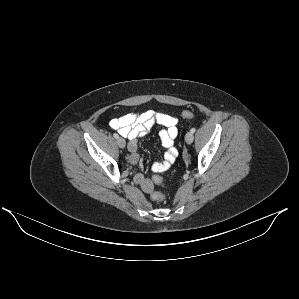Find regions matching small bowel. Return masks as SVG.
Returning <instances> with one entry per match:
<instances>
[{
  "label": "small bowel",
  "mask_w": 299,
  "mask_h": 299,
  "mask_svg": "<svg viewBox=\"0 0 299 299\" xmlns=\"http://www.w3.org/2000/svg\"><path fill=\"white\" fill-rule=\"evenodd\" d=\"M155 124L164 127L159 132V138L162 145L166 148V152L163 160L153 163L151 167L152 171L160 173L167 171L178 156V151L175 147V138L178 134V119L176 117L148 110L138 114L129 113L114 118L110 121L109 126L129 140V162L136 164L139 160L137 139L145 136ZM134 178L141 185L144 192L151 193L153 191V182L145 178L142 173H136Z\"/></svg>",
  "instance_id": "c3829d8e"
}]
</instances>
